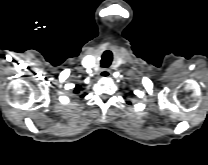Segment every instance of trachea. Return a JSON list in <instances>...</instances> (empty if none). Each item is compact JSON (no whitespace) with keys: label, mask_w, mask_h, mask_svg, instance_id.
<instances>
[{"label":"trachea","mask_w":208,"mask_h":165,"mask_svg":"<svg viewBox=\"0 0 208 165\" xmlns=\"http://www.w3.org/2000/svg\"><path fill=\"white\" fill-rule=\"evenodd\" d=\"M102 67H107V65H106V64H104V63H102Z\"/></svg>","instance_id":"1"}]
</instances>
